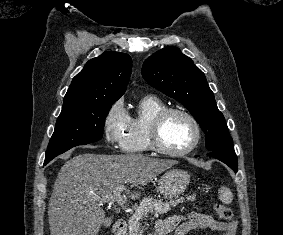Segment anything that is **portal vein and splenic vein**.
Here are the masks:
<instances>
[{"mask_svg":"<svg viewBox=\"0 0 283 235\" xmlns=\"http://www.w3.org/2000/svg\"><path fill=\"white\" fill-rule=\"evenodd\" d=\"M124 190H125L124 186L117 188L112 195L107 196L105 198H100V203L103 204V203H106V202H109V201H114V202H117L122 207L126 206V202L124 201V199L121 196V193Z\"/></svg>","mask_w":283,"mask_h":235,"instance_id":"portal-vein-and-splenic-vein-1","label":"portal vein and splenic vein"}]
</instances>
